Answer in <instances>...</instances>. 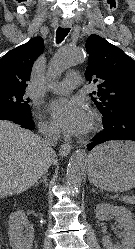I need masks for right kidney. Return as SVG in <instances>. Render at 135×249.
Returning <instances> with one entry per match:
<instances>
[{
    "mask_svg": "<svg viewBox=\"0 0 135 249\" xmlns=\"http://www.w3.org/2000/svg\"><path fill=\"white\" fill-rule=\"evenodd\" d=\"M8 229L12 249H31L34 232L28 229V219L23 210H17L10 216Z\"/></svg>",
    "mask_w": 135,
    "mask_h": 249,
    "instance_id": "ca27d5eb",
    "label": "right kidney"
}]
</instances>
